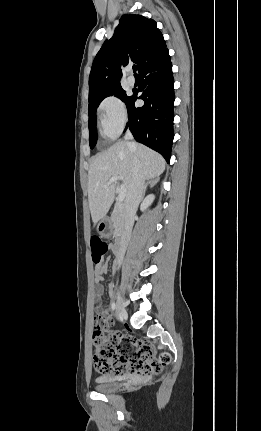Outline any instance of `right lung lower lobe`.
<instances>
[{"label":"right lung lower lobe","instance_id":"98d812e1","mask_svg":"<svg viewBox=\"0 0 261 431\" xmlns=\"http://www.w3.org/2000/svg\"><path fill=\"white\" fill-rule=\"evenodd\" d=\"M142 84L127 100V127L136 141L159 152L170 161L173 143L174 79L168 49L139 70ZM138 92H142L137 96ZM137 99L144 106L135 107ZM126 127V129H127Z\"/></svg>","mask_w":261,"mask_h":431}]
</instances>
